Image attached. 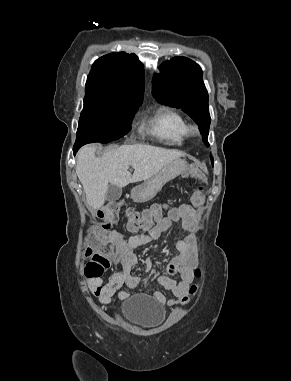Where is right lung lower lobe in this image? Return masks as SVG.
Returning a JSON list of instances; mask_svg holds the SVG:
<instances>
[{
    "mask_svg": "<svg viewBox=\"0 0 291 381\" xmlns=\"http://www.w3.org/2000/svg\"><path fill=\"white\" fill-rule=\"evenodd\" d=\"M81 146H79V145H74V147H73V152H74V155L76 154V152L78 151V149L80 148Z\"/></svg>",
    "mask_w": 291,
    "mask_h": 381,
    "instance_id": "98d812e1",
    "label": "right lung lower lobe"
}]
</instances>
